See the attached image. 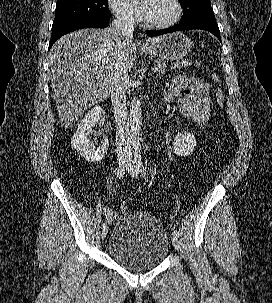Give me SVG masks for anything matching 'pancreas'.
Returning a JSON list of instances; mask_svg holds the SVG:
<instances>
[{
  "instance_id": "cf45deb5",
  "label": "pancreas",
  "mask_w": 272,
  "mask_h": 303,
  "mask_svg": "<svg viewBox=\"0 0 272 303\" xmlns=\"http://www.w3.org/2000/svg\"><path fill=\"white\" fill-rule=\"evenodd\" d=\"M166 68H167V65L164 60L157 61V69H158L159 74H161V75L165 74Z\"/></svg>"
}]
</instances>
